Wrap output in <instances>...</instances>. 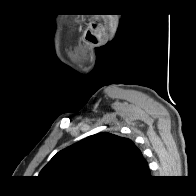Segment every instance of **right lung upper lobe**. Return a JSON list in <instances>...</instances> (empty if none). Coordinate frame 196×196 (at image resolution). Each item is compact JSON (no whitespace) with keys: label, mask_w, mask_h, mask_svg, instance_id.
I'll return each mask as SVG.
<instances>
[{"label":"right lung upper lobe","mask_w":196,"mask_h":196,"mask_svg":"<svg viewBox=\"0 0 196 196\" xmlns=\"http://www.w3.org/2000/svg\"><path fill=\"white\" fill-rule=\"evenodd\" d=\"M149 173L147 161L130 139L103 132L58 152L39 176L54 183L108 188L138 183Z\"/></svg>","instance_id":"obj_1"}]
</instances>
